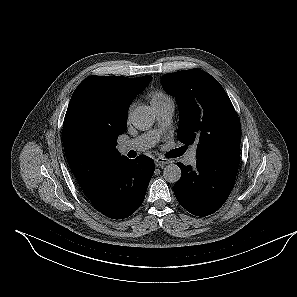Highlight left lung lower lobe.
I'll return each mask as SVG.
<instances>
[{
    "instance_id": "1",
    "label": "left lung lower lobe",
    "mask_w": 297,
    "mask_h": 297,
    "mask_svg": "<svg viewBox=\"0 0 297 297\" xmlns=\"http://www.w3.org/2000/svg\"><path fill=\"white\" fill-rule=\"evenodd\" d=\"M240 161V143L207 157L197 158L196 167L177 165L183 174L174 185L178 202L196 216L217 211L233 189Z\"/></svg>"
}]
</instances>
